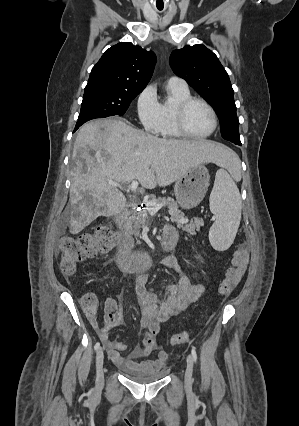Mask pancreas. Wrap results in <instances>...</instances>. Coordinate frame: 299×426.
<instances>
[{
  "mask_svg": "<svg viewBox=\"0 0 299 426\" xmlns=\"http://www.w3.org/2000/svg\"><path fill=\"white\" fill-rule=\"evenodd\" d=\"M152 203H162L163 206H167L168 212L171 215V220L177 223L179 229L185 231L188 235H195L200 228L204 226V220L202 218H194L189 224L181 223V220H188L184 217V213L179 210V207L172 198H155L152 197L149 201ZM145 202V203H147ZM149 219V211L147 208L140 210L130 217V224L128 232L133 234L135 237L140 236V229L147 223Z\"/></svg>",
  "mask_w": 299,
  "mask_h": 426,
  "instance_id": "1",
  "label": "pancreas"
}]
</instances>
